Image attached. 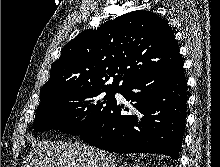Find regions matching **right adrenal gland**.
I'll return each mask as SVG.
<instances>
[{"label":"right adrenal gland","mask_w":220,"mask_h":167,"mask_svg":"<svg viewBox=\"0 0 220 167\" xmlns=\"http://www.w3.org/2000/svg\"><path fill=\"white\" fill-rule=\"evenodd\" d=\"M118 167H123V165H120V166H118Z\"/></svg>","instance_id":"1"}]
</instances>
